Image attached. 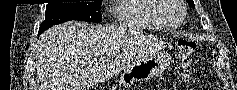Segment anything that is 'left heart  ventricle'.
<instances>
[{
  "label": "left heart ventricle",
  "mask_w": 237,
  "mask_h": 90,
  "mask_svg": "<svg viewBox=\"0 0 237 90\" xmlns=\"http://www.w3.org/2000/svg\"><path fill=\"white\" fill-rule=\"evenodd\" d=\"M169 24H175L179 20V16H176L175 19H166Z\"/></svg>",
  "instance_id": "1"
}]
</instances>
